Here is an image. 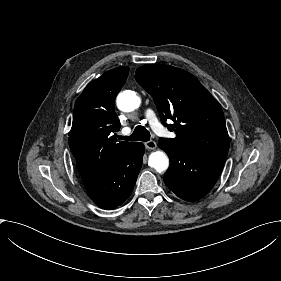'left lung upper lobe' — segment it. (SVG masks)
Masks as SVG:
<instances>
[{"mask_svg": "<svg viewBox=\"0 0 281 281\" xmlns=\"http://www.w3.org/2000/svg\"><path fill=\"white\" fill-rule=\"evenodd\" d=\"M135 78L153 97L162 123L176 133L175 138H160V143L188 154L227 156L229 136L221 106L192 74L147 64L137 69Z\"/></svg>", "mask_w": 281, "mask_h": 281, "instance_id": "1", "label": "left lung upper lobe"}]
</instances>
